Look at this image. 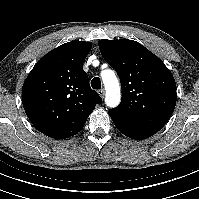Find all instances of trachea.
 <instances>
[{
  "instance_id": "obj_1",
  "label": "trachea",
  "mask_w": 199,
  "mask_h": 199,
  "mask_svg": "<svg viewBox=\"0 0 199 199\" xmlns=\"http://www.w3.org/2000/svg\"><path fill=\"white\" fill-rule=\"evenodd\" d=\"M91 86L93 89H101V81L99 77H94L91 81Z\"/></svg>"
}]
</instances>
